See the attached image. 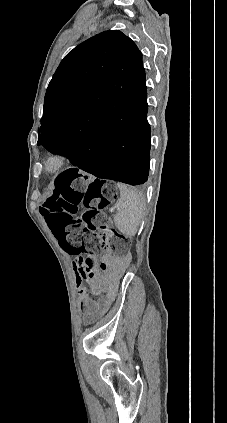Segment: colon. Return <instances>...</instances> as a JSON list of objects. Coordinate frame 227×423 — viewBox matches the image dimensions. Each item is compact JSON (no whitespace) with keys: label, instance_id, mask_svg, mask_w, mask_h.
I'll use <instances>...</instances> for the list:
<instances>
[{"label":"colon","instance_id":"1","mask_svg":"<svg viewBox=\"0 0 227 423\" xmlns=\"http://www.w3.org/2000/svg\"><path fill=\"white\" fill-rule=\"evenodd\" d=\"M115 198L111 186L89 182L71 170L61 173L51 195L41 206L47 225L69 254L95 255L106 247L102 234H110V249L116 259L130 255V239L108 225L105 208ZM80 207L86 209L79 215ZM77 281L93 282L95 270L91 258H78L73 263Z\"/></svg>","mask_w":227,"mask_h":423}]
</instances>
